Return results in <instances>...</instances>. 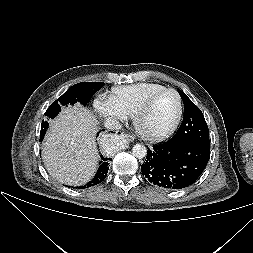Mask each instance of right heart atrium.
Instances as JSON below:
<instances>
[{"label": "right heart atrium", "instance_id": "obj_1", "mask_svg": "<svg viewBox=\"0 0 253 253\" xmlns=\"http://www.w3.org/2000/svg\"><path fill=\"white\" fill-rule=\"evenodd\" d=\"M94 108L98 115L104 118L123 119L109 98L100 97L94 101Z\"/></svg>", "mask_w": 253, "mask_h": 253}]
</instances>
